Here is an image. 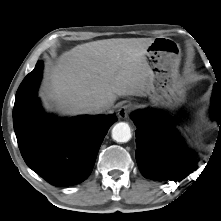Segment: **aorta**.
Masks as SVG:
<instances>
[{"instance_id": "762f6f07", "label": "aorta", "mask_w": 221, "mask_h": 221, "mask_svg": "<svg viewBox=\"0 0 221 221\" xmlns=\"http://www.w3.org/2000/svg\"><path fill=\"white\" fill-rule=\"evenodd\" d=\"M112 138L117 142H128L131 138V129L128 123H117L112 129Z\"/></svg>"}]
</instances>
